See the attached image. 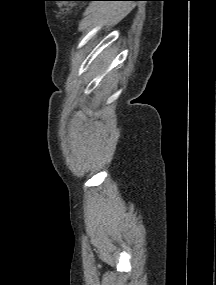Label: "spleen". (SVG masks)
Segmentation results:
<instances>
[{"label": "spleen", "mask_w": 216, "mask_h": 285, "mask_svg": "<svg viewBox=\"0 0 216 285\" xmlns=\"http://www.w3.org/2000/svg\"><path fill=\"white\" fill-rule=\"evenodd\" d=\"M104 58L109 59V61L111 60V57H110V55H108V54H106V55L104 56Z\"/></svg>", "instance_id": "3e777b00"}]
</instances>
